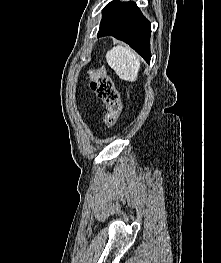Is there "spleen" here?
Instances as JSON below:
<instances>
[{"instance_id": "spleen-1", "label": "spleen", "mask_w": 221, "mask_h": 263, "mask_svg": "<svg viewBox=\"0 0 221 263\" xmlns=\"http://www.w3.org/2000/svg\"><path fill=\"white\" fill-rule=\"evenodd\" d=\"M106 61L122 80L136 81L140 69V58L132 49L117 45L107 52Z\"/></svg>"}]
</instances>
